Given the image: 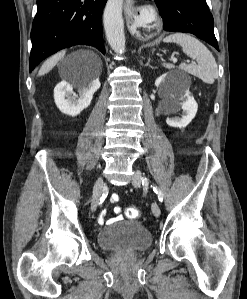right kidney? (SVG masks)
<instances>
[{
  "instance_id": "1",
  "label": "right kidney",
  "mask_w": 247,
  "mask_h": 299,
  "mask_svg": "<svg viewBox=\"0 0 247 299\" xmlns=\"http://www.w3.org/2000/svg\"><path fill=\"white\" fill-rule=\"evenodd\" d=\"M99 78L93 79L88 85H78L79 96L67 81H61L54 88V100L59 110L67 115L76 116L89 107L94 93L100 88Z\"/></svg>"
}]
</instances>
